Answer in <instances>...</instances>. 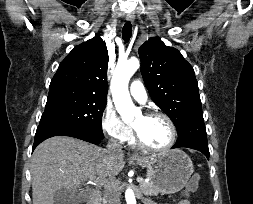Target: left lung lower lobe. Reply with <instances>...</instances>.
<instances>
[{"label": "left lung lower lobe", "mask_w": 253, "mask_h": 204, "mask_svg": "<svg viewBox=\"0 0 253 204\" xmlns=\"http://www.w3.org/2000/svg\"><path fill=\"white\" fill-rule=\"evenodd\" d=\"M177 132L178 139L172 148L187 147L195 149L209 158L207 133L204 125L203 113L190 117Z\"/></svg>", "instance_id": "left-lung-lower-lobe-1"}]
</instances>
